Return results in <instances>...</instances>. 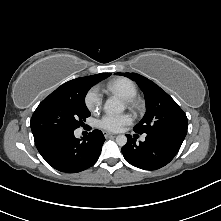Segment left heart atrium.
<instances>
[{
  "instance_id": "39dd6f15",
  "label": "left heart atrium",
  "mask_w": 221,
  "mask_h": 221,
  "mask_svg": "<svg viewBox=\"0 0 221 221\" xmlns=\"http://www.w3.org/2000/svg\"><path fill=\"white\" fill-rule=\"evenodd\" d=\"M131 121L132 118L128 114H106L99 120V126L105 130L117 132Z\"/></svg>"
}]
</instances>
